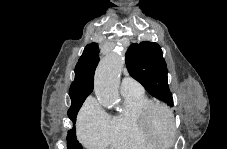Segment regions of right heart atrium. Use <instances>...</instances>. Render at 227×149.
<instances>
[{
  "mask_svg": "<svg viewBox=\"0 0 227 149\" xmlns=\"http://www.w3.org/2000/svg\"><path fill=\"white\" fill-rule=\"evenodd\" d=\"M109 115L95 98H88L78 116V134L82 143L91 149L105 146L108 142Z\"/></svg>",
  "mask_w": 227,
  "mask_h": 149,
  "instance_id": "obj_1",
  "label": "right heart atrium"
}]
</instances>
